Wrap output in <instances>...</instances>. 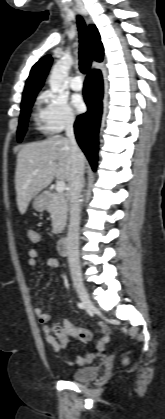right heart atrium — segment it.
<instances>
[{
	"instance_id": "obj_1",
	"label": "right heart atrium",
	"mask_w": 165,
	"mask_h": 419,
	"mask_svg": "<svg viewBox=\"0 0 165 419\" xmlns=\"http://www.w3.org/2000/svg\"><path fill=\"white\" fill-rule=\"evenodd\" d=\"M38 103L41 129L45 133H59L75 123V113L64 96L45 91L39 96Z\"/></svg>"
}]
</instances>
